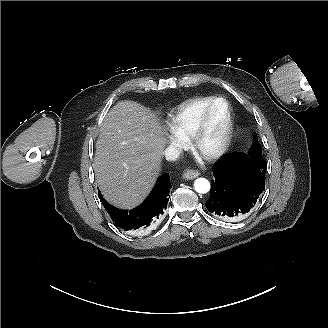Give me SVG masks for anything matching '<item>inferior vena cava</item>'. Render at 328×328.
Listing matches in <instances>:
<instances>
[{"mask_svg": "<svg viewBox=\"0 0 328 328\" xmlns=\"http://www.w3.org/2000/svg\"><path fill=\"white\" fill-rule=\"evenodd\" d=\"M165 159L168 162H176L181 155V149L175 145L168 146L164 151Z\"/></svg>", "mask_w": 328, "mask_h": 328, "instance_id": "602c4592", "label": "inferior vena cava"}]
</instances>
